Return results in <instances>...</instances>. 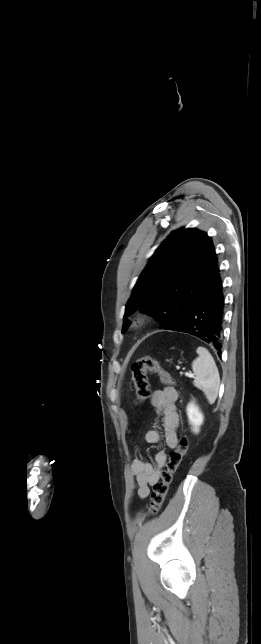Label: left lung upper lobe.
Here are the masks:
<instances>
[{"label":"left lung upper lobe","instance_id":"5c2ea615","mask_svg":"<svg viewBox=\"0 0 261 644\" xmlns=\"http://www.w3.org/2000/svg\"><path fill=\"white\" fill-rule=\"evenodd\" d=\"M219 273L210 237L196 229L171 233L150 258L126 304V316L141 308L165 329L176 322Z\"/></svg>","mask_w":261,"mask_h":644}]
</instances>
